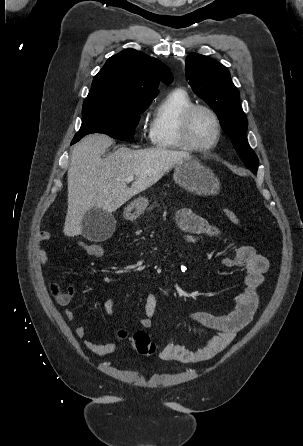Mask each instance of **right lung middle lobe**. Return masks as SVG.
<instances>
[{
  "label": "right lung middle lobe",
  "instance_id": "obj_1",
  "mask_svg": "<svg viewBox=\"0 0 303 446\" xmlns=\"http://www.w3.org/2000/svg\"><path fill=\"white\" fill-rule=\"evenodd\" d=\"M148 106L93 105L83 107L82 125L71 144L90 133H104L127 140L133 137L141 114Z\"/></svg>",
  "mask_w": 303,
  "mask_h": 446
}]
</instances>
